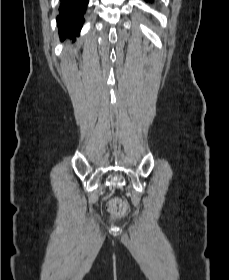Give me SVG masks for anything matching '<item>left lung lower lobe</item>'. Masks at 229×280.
<instances>
[{"label":"left lung lower lobe","instance_id":"0a47b994","mask_svg":"<svg viewBox=\"0 0 229 280\" xmlns=\"http://www.w3.org/2000/svg\"><path fill=\"white\" fill-rule=\"evenodd\" d=\"M145 1L153 2V0H145Z\"/></svg>","mask_w":229,"mask_h":280}]
</instances>
